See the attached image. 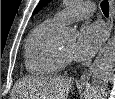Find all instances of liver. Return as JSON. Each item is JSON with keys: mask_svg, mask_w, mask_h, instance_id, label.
<instances>
[{"mask_svg": "<svg viewBox=\"0 0 115 99\" xmlns=\"http://www.w3.org/2000/svg\"><path fill=\"white\" fill-rule=\"evenodd\" d=\"M73 79L61 76L24 77L14 86L17 99H66Z\"/></svg>", "mask_w": 115, "mask_h": 99, "instance_id": "6515ba94", "label": "liver"}]
</instances>
